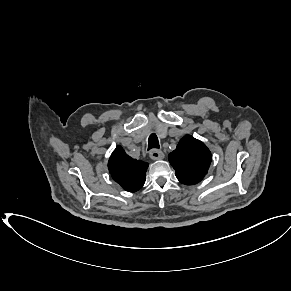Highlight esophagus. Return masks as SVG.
Returning a JSON list of instances; mask_svg holds the SVG:
<instances>
[{
  "label": "esophagus",
  "instance_id": "obj_1",
  "mask_svg": "<svg viewBox=\"0 0 291 291\" xmlns=\"http://www.w3.org/2000/svg\"><path fill=\"white\" fill-rule=\"evenodd\" d=\"M149 156L152 160H159L164 158V153L161 150L153 149L150 151Z\"/></svg>",
  "mask_w": 291,
  "mask_h": 291
}]
</instances>
